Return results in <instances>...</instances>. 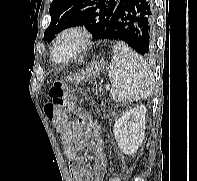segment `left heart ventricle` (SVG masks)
<instances>
[{
	"mask_svg": "<svg viewBox=\"0 0 197 181\" xmlns=\"http://www.w3.org/2000/svg\"><path fill=\"white\" fill-rule=\"evenodd\" d=\"M78 45V37L75 35L65 36L56 47V58L63 60L68 58Z\"/></svg>",
	"mask_w": 197,
	"mask_h": 181,
	"instance_id": "b2bd125f",
	"label": "left heart ventricle"
}]
</instances>
